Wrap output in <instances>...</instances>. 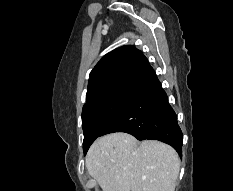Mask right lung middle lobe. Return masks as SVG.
I'll return each instance as SVG.
<instances>
[{
    "label": "right lung middle lobe",
    "instance_id": "dd1d6c3e",
    "mask_svg": "<svg viewBox=\"0 0 233 191\" xmlns=\"http://www.w3.org/2000/svg\"><path fill=\"white\" fill-rule=\"evenodd\" d=\"M128 96L129 92L127 90L111 94L83 107L82 127L84 131V155L94 140L99 137L102 130L126 105Z\"/></svg>",
    "mask_w": 233,
    "mask_h": 191
}]
</instances>
